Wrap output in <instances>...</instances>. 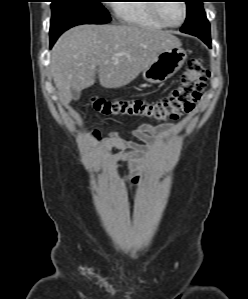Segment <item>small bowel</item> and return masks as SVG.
<instances>
[{
    "instance_id": "c3829d8e",
    "label": "small bowel",
    "mask_w": 248,
    "mask_h": 299,
    "mask_svg": "<svg viewBox=\"0 0 248 299\" xmlns=\"http://www.w3.org/2000/svg\"><path fill=\"white\" fill-rule=\"evenodd\" d=\"M177 129L178 125L175 123H167L159 126L139 124L132 132L136 138L144 143L143 145L127 141L115 132H112L105 139H102L98 133H93L90 135V139L93 142L100 143L102 148L110 147L121 151L130 150L148 158L154 152L162 151ZM110 164L111 166H115L116 158H112ZM137 164V160L134 157H130V168H135Z\"/></svg>"
}]
</instances>
